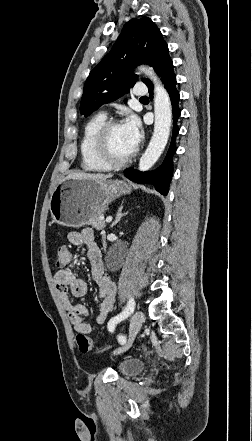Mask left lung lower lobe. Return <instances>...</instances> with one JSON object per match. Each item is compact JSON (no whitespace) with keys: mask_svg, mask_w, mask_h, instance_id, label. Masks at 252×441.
I'll list each match as a JSON object with an SVG mask.
<instances>
[{"mask_svg":"<svg viewBox=\"0 0 252 441\" xmlns=\"http://www.w3.org/2000/svg\"><path fill=\"white\" fill-rule=\"evenodd\" d=\"M156 72L159 75V77H161L164 87L167 89V92L169 93L171 99L172 112H173V132H172L171 144L163 163L156 170L151 172H140L135 170L134 168H129L125 170L124 175L136 183L152 184L155 186L156 190L159 191L162 195H167L169 190V183L172 179V172H173L172 157L176 151L175 139L179 132V128L177 126V120L180 117V113H181L178 106L180 96H179V92L176 89V75L174 74L173 71V63L169 56L168 47L164 49L163 53L159 58ZM147 87L149 88L150 98H152L153 96L152 83L149 82L147 84Z\"/></svg>","mask_w":252,"mask_h":441,"instance_id":"1","label":"left lung lower lobe"}]
</instances>
